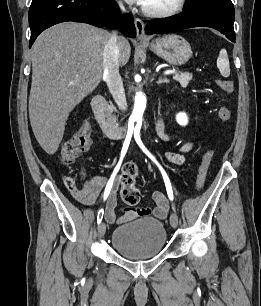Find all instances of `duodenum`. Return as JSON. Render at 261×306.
<instances>
[{
  "instance_id": "1",
  "label": "duodenum",
  "mask_w": 261,
  "mask_h": 306,
  "mask_svg": "<svg viewBox=\"0 0 261 306\" xmlns=\"http://www.w3.org/2000/svg\"><path fill=\"white\" fill-rule=\"evenodd\" d=\"M91 106L103 132L111 138H120L124 134V128L111 114L105 98L97 95L92 99Z\"/></svg>"
}]
</instances>
